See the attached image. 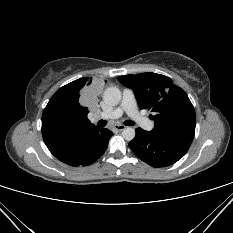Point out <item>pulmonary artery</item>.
Here are the masks:
<instances>
[{"label": "pulmonary artery", "mask_w": 233, "mask_h": 233, "mask_svg": "<svg viewBox=\"0 0 233 233\" xmlns=\"http://www.w3.org/2000/svg\"><path fill=\"white\" fill-rule=\"evenodd\" d=\"M126 113L134 122L146 130L153 127V122L143 116L137 109V102L132 90L124 89L121 104L113 110L100 114L102 119H118Z\"/></svg>", "instance_id": "e3ab8cb5"}]
</instances>
